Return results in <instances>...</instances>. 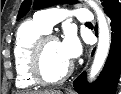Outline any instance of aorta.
I'll list each match as a JSON object with an SVG mask.
<instances>
[{"instance_id":"1","label":"aorta","mask_w":121,"mask_h":94,"mask_svg":"<svg viewBox=\"0 0 121 94\" xmlns=\"http://www.w3.org/2000/svg\"><path fill=\"white\" fill-rule=\"evenodd\" d=\"M86 2L94 9L99 24V42L89 75V80L92 81L106 61L110 49L111 35L106 16L97 2L95 0H87Z\"/></svg>"}]
</instances>
